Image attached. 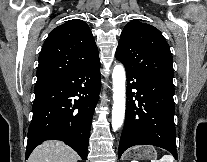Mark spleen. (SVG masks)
Here are the masks:
<instances>
[{
	"label": "spleen",
	"mask_w": 207,
	"mask_h": 162,
	"mask_svg": "<svg viewBox=\"0 0 207 162\" xmlns=\"http://www.w3.org/2000/svg\"><path fill=\"white\" fill-rule=\"evenodd\" d=\"M151 162H174L172 155H164L160 160H152Z\"/></svg>",
	"instance_id": "1"
}]
</instances>
